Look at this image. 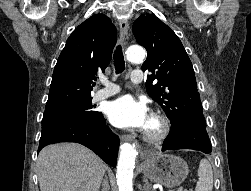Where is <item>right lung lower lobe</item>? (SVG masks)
<instances>
[{
  "mask_svg": "<svg viewBox=\"0 0 251 191\" xmlns=\"http://www.w3.org/2000/svg\"><path fill=\"white\" fill-rule=\"evenodd\" d=\"M105 119L95 122L73 119L42 129L38 152L46 145L58 142L80 143L116 167L119 138L105 125Z\"/></svg>",
  "mask_w": 251,
  "mask_h": 191,
  "instance_id": "98d812e1",
  "label": "right lung lower lobe"
}]
</instances>
